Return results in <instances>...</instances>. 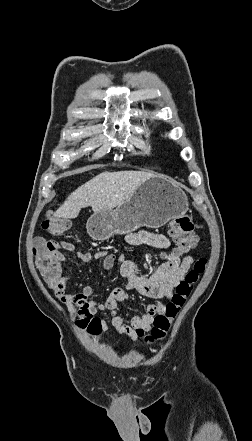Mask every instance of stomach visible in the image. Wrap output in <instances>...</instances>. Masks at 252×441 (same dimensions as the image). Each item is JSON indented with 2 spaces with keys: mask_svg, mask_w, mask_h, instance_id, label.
<instances>
[{
  "mask_svg": "<svg viewBox=\"0 0 252 441\" xmlns=\"http://www.w3.org/2000/svg\"><path fill=\"white\" fill-rule=\"evenodd\" d=\"M187 210L188 201L183 190L171 179L155 175L115 209L94 212L86 227L91 238L104 241L114 234H128L141 226L159 228Z\"/></svg>",
  "mask_w": 252,
  "mask_h": 441,
  "instance_id": "0dacf381",
  "label": "stomach"
}]
</instances>
